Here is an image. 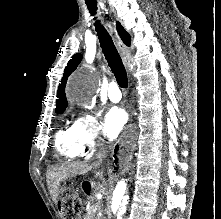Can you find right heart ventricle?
I'll return each instance as SVG.
<instances>
[{"label":"right heart ventricle","mask_w":221,"mask_h":219,"mask_svg":"<svg viewBox=\"0 0 221 219\" xmlns=\"http://www.w3.org/2000/svg\"><path fill=\"white\" fill-rule=\"evenodd\" d=\"M56 149L66 159H75L83 154L74 125L67 126L56 135Z\"/></svg>","instance_id":"obj_1"}]
</instances>
